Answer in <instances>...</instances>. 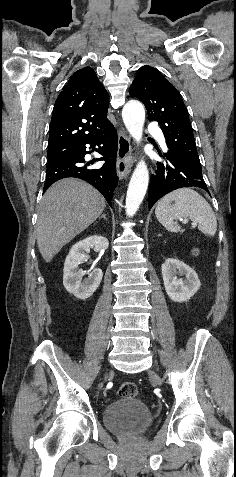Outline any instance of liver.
Returning a JSON list of instances; mask_svg holds the SVG:
<instances>
[{"instance_id":"liver-1","label":"liver","mask_w":236,"mask_h":477,"mask_svg":"<svg viewBox=\"0 0 236 477\" xmlns=\"http://www.w3.org/2000/svg\"><path fill=\"white\" fill-rule=\"evenodd\" d=\"M106 207L104 197L91 185L66 178L54 183L38 206L37 244L43 259L53 257L90 226Z\"/></svg>"}]
</instances>
